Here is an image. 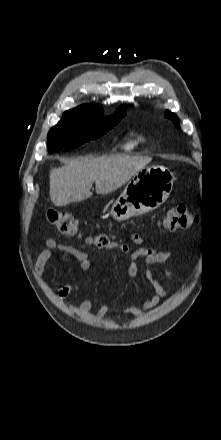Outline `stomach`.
Listing matches in <instances>:
<instances>
[{
  "instance_id": "obj_1",
  "label": "stomach",
  "mask_w": 221,
  "mask_h": 440,
  "mask_svg": "<svg viewBox=\"0 0 221 440\" xmlns=\"http://www.w3.org/2000/svg\"><path fill=\"white\" fill-rule=\"evenodd\" d=\"M174 176L165 167L152 165L140 170L114 202L111 215L117 221L143 215L163 204L173 188Z\"/></svg>"
}]
</instances>
